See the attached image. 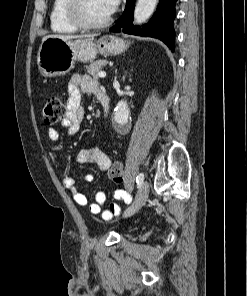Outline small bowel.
I'll list each match as a JSON object with an SVG mask.
<instances>
[{
    "mask_svg": "<svg viewBox=\"0 0 247 296\" xmlns=\"http://www.w3.org/2000/svg\"><path fill=\"white\" fill-rule=\"evenodd\" d=\"M98 90H100L98 83L88 76L74 74L71 77L68 85L67 116L62 121V126L67 130L69 136H73L78 132L84 118V111L81 107L82 93L96 94ZM48 135L52 142H59L60 136L55 128H50ZM52 157L55 159L56 154L52 153ZM73 162L75 164L96 165L101 170H107L111 166L110 158L96 147L81 149L75 155ZM94 179L93 174H86L84 176L86 183H92ZM62 183L74 201L80 206H88L92 214L100 215L102 218L109 220L113 215L120 213V206L116 202H111L107 208L104 207L106 202L104 192H96L95 202L89 204L87 197L78 190L71 175L65 174L62 178ZM113 199L114 201H123L127 204L132 200L131 196L122 189L115 190Z\"/></svg>",
    "mask_w": 247,
    "mask_h": 296,
    "instance_id": "obj_1",
    "label": "small bowel"
}]
</instances>
